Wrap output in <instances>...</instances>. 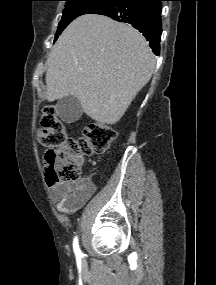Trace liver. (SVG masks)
<instances>
[{
    "instance_id": "1",
    "label": "liver",
    "mask_w": 216,
    "mask_h": 285,
    "mask_svg": "<svg viewBox=\"0 0 216 285\" xmlns=\"http://www.w3.org/2000/svg\"><path fill=\"white\" fill-rule=\"evenodd\" d=\"M156 60L133 27L87 14L72 21L48 57L47 100L76 97L102 124L117 123L146 85Z\"/></svg>"
}]
</instances>
